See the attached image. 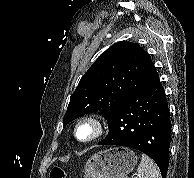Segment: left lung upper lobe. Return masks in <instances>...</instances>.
<instances>
[{
  "label": "left lung upper lobe",
  "mask_w": 194,
  "mask_h": 178,
  "mask_svg": "<svg viewBox=\"0 0 194 178\" xmlns=\"http://www.w3.org/2000/svg\"><path fill=\"white\" fill-rule=\"evenodd\" d=\"M157 79L156 68L142 47L127 41L115 43L81 78L70 97L63 127L97 111L108 119L119 104Z\"/></svg>",
  "instance_id": "obj_1"
}]
</instances>
